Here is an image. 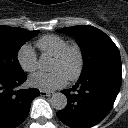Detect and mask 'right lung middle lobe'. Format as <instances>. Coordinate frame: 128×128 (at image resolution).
<instances>
[{"instance_id": "dd1d6c3e", "label": "right lung middle lobe", "mask_w": 128, "mask_h": 128, "mask_svg": "<svg viewBox=\"0 0 128 128\" xmlns=\"http://www.w3.org/2000/svg\"><path fill=\"white\" fill-rule=\"evenodd\" d=\"M39 31L0 26V76L14 77L24 73L17 54L20 47Z\"/></svg>"}]
</instances>
